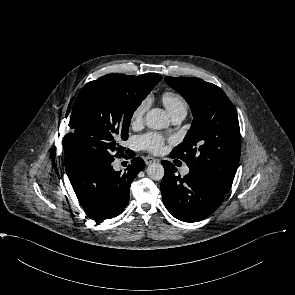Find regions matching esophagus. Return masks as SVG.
<instances>
[{
    "label": "esophagus",
    "mask_w": 295,
    "mask_h": 295,
    "mask_svg": "<svg viewBox=\"0 0 295 295\" xmlns=\"http://www.w3.org/2000/svg\"><path fill=\"white\" fill-rule=\"evenodd\" d=\"M144 161H145L146 165H150V164H152V163L157 162V159L148 156V157H145V158H144Z\"/></svg>",
    "instance_id": "34e87169"
}]
</instances>
